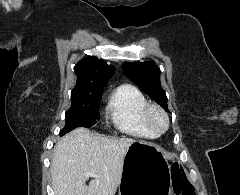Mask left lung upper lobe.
<instances>
[{
  "label": "left lung upper lobe",
  "mask_w": 240,
  "mask_h": 195,
  "mask_svg": "<svg viewBox=\"0 0 240 195\" xmlns=\"http://www.w3.org/2000/svg\"><path fill=\"white\" fill-rule=\"evenodd\" d=\"M122 68L131 81L168 111L167 96L160 82V70L153 62H126Z\"/></svg>",
  "instance_id": "1"
}]
</instances>
